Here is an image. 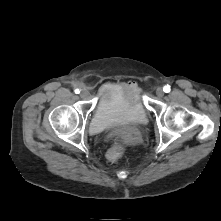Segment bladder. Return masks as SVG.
<instances>
[{
	"instance_id": "obj_1",
	"label": "bladder",
	"mask_w": 221,
	"mask_h": 221,
	"mask_svg": "<svg viewBox=\"0 0 221 221\" xmlns=\"http://www.w3.org/2000/svg\"><path fill=\"white\" fill-rule=\"evenodd\" d=\"M146 121L147 112L137 90L109 85L100 92L89 128L98 134L119 125H142Z\"/></svg>"
}]
</instances>
